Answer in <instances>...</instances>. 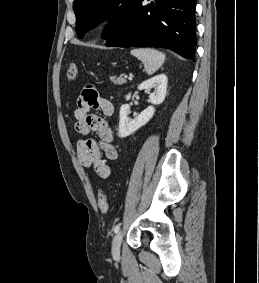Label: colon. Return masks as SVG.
<instances>
[{
    "label": "colon",
    "mask_w": 259,
    "mask_h": 283,
    "mask_svg": "<svg viewBox=\"0 0 259 283\" xmlns=\"http://www.w3.org/2000/svg\"><path fill=\"white\" fill-rule=\"evenodd\" d=\"M67 78L69 81H75L78 75V68L75 63H71L67 69ZM98 206L102 212L108 209V197L105 191L101 190L98 194Z\"/></svg>",
    "instance_id": "obj_1"
}]
</instances>
